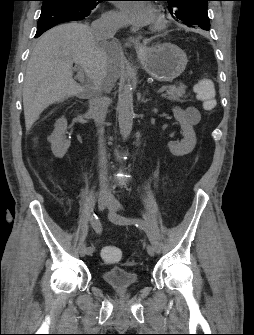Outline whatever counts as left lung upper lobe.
<instances>
[{"mask_svg": "<svg viewBox=\"0 0 254 335\" xmlns=\"http://www.w3.org/2000/svg\"><path fill=\"white\" fill-rule=\"evenodd\" d=\"M173 18L191 28L209 30L207 7L210 0H163Z\"/></svg>", "mask_w": 254, "mask_h": 335, "instance_id": "1", "label": "left lung upper lobe"}]
</instances>
